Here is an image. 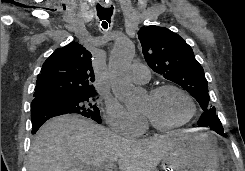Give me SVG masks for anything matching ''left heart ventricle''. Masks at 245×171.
I'll use <instances>...</instances> for the list:
<instances>
[{
	"instance_id": "b2bd125f",
	"label": "left heart ventricle",
	"mask_w": 245,
	"mask_h": 171,
	"mask_svg": "<svg viewBox=\"0 0 245 171\" xmlns=\"http://www.w3.org/2000/svg\"><path fill=\"white\" fill-rule=\"evenodd\" d=\"M189 112V102L175 90H166L156 96L148 94L143 103V113L162 124L181 122Z\"/></svg>"
}]
</instances>
